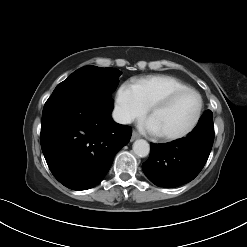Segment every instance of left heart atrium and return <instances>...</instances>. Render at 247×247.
I'll return each mask as SVG.
<instances>
[{"label":"left heart atrium","mask_w":247,"mask_h":247,"mask_svg":"<svg viewBox=\"0 0 247 247\" xmlns=\"http://www.w3.org/2000/svg\"><path fill=\"white\" fill-rule=\"evenodd\" d=\"M140 129L143 132L150 134H158L150 118L145 119L140 123Z\"/></svg>","instance_id":"obj_1"}]
</instances>
